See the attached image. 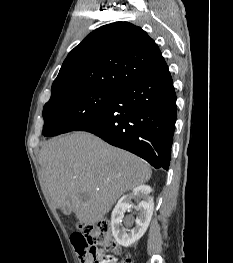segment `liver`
Returning a JSON list of instances; mask_svg holds the SVG:
<instances>
[{
  "mask_svg": "<svg viewBox=\"0 0 233 263\" xmlns=\"http://www.w3.org/2000/svg\"><path fill=\"white\" fill-rule=\"evenodd\" d=\"M39 162L52 204L67 206L86 225L99 222L122 194L146 183L152 174L139 157L87 132L48 140Z\"/></svg>",
  "mask_w": 233,
  "mask_h": 263,
  "instance_id": "liver-1",
  "label": "liver"
}]
</instances>
